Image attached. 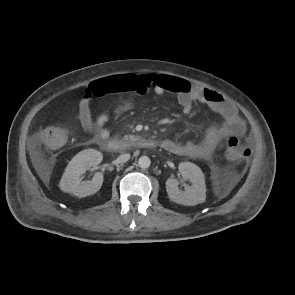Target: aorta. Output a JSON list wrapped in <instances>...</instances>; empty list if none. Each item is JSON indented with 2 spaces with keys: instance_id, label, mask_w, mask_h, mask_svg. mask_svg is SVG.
<instances>
[{
  "instance_id": "1",
  "label": "aorta",
  "mask_w": 295,
  "mask_h": 295,
  "mask_svg": "<svg viewBox=\"0 0 295 295\" xmlns=\"http://www.w3.org/2000/svg\"><path fill=\"white\" fill-rule=\"evenodd\" d=\"M150 164H151V160L147 156H141L138 160V165L142 169L148 168L150 166Z\"/></svg>"
}]
</instances>
